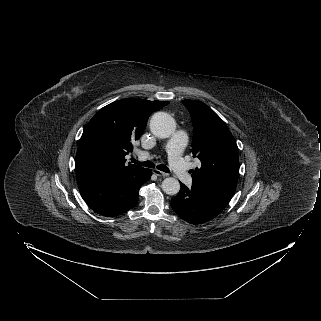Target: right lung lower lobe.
<instances>
[{
	"mask_svg": "<svg viewBox=\"0 0 321 321\" xmlns=\"http://www.w3.org/2000/svg\"><path fill=\"white\" fill-rule=\"evenodd\" d=\"M151 174L150 169L143 168L134 173L100 177L79 185V190L93 211L115 217L137 204L138 191Z\"/></svg>",
	"mask_w": 321,
	"mask_h": 321,
	"instance_id": "right-lung-lower-lobe-1",
	"label": "right lung lower lobe"
}]
</instances>
